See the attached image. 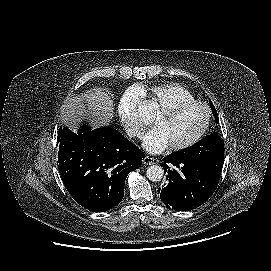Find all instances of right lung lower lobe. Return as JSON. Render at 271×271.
Wrapping results in <instances>:
<instances>
[{
    "label": "right lung lower lobe",
    "instance_id": "1",
    "mask_svg": "<svg viewBox=\"0 0 271 271\" xmlns=\"http://www.w3.org/2000/svg\"><path fill=\"white\" fill-rule=\"evenodd\" d=\"M62 181L73 199L93 212L118 205L127 175L142 165L144 153L120 132L83 125L78 133L60 127L57 137Z\"/></svg>",
    "mask_w": 271,
    "mask_h": 271
}]
</instances>
